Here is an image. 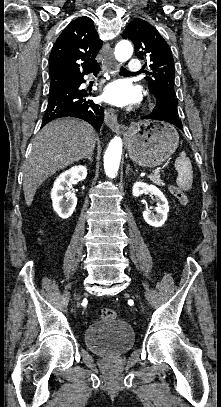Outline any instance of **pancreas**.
Masks as SVG:
<instances>
[{
  "instance_id": "pancreas-1",
  "label": "pancreas",
  "mask_w": 221,
  "mask_h": 407,
  "mask_svg": "<svg viewBox=\"0 0 221 407\" xmlns=\"http://www.w3.org/2000/svg\"><path fill=\"white\" fill-rule=\"evenodd\" d=\"M149 179L158 186H164L163 180L160 178L159 174H151Z\"/></svg>"
}]
</instances>
